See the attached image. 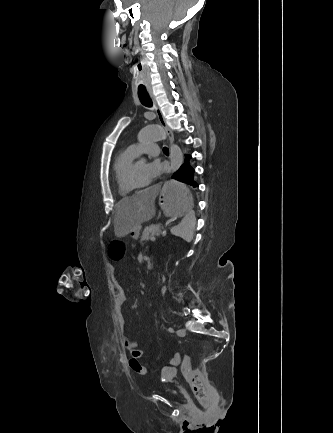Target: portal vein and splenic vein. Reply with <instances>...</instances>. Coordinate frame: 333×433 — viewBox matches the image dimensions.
<instances>
[{"mask_svg": "<svg viewBox=\"0 0 333 433\" xmlns=\"http://www.w3.org/2000/svg\"><path fill=\"white\" fill-rule=\"evenodd\" d=\"M165 232H166V230L163 228V230L161 231V233H165ZM150 240H151V241H155V240H156V237H151Z\"/></svg>", "mask_w": 333, "mask_h": 433, "instance_id": "portal-vein-and-splenic-vein-1", "label": "portal vein and splenic vein"}]
</instances>
